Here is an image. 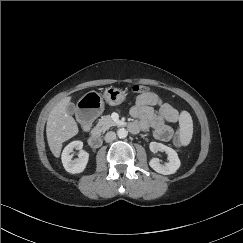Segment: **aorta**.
Listing matches in <instances>:
<instances>
[{"instance_id":"obj_1","label":"aorta","mask_w":243,"mask_h":243,"mask_svg":"<svg viewBox=\"0 0 243 243\" xmlns=\"http://www.w3.org/2000/svg\"><path fill=\"white\" fill-rule=\"evenodd\" d=\"M117 135H118L119 138L123 139V138L127 137L128 132H127L126 129L120 128V129L117 130Z\"/></svg>"}]
</instances>
